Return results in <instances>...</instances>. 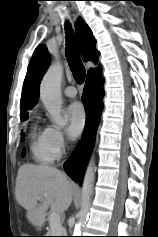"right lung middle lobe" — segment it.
<instances>
[{
  "label": "right lung middle lobe",
  "instance_id": "obj_1",
  "mask_svg": "<svg viewBox=\"0 0 158 237\" xmlns=\"http://www.w3.org/2000/svg\"><path fill=\"white\" fill-rule=\"evenodd\" d=\"M28 119V116H23V117H21V120L22 121H25V120H27Z\"/></svg>",
  "mask_w": 158,
  "mask_h": 237
}]
</instances>
